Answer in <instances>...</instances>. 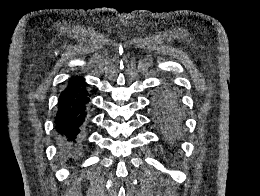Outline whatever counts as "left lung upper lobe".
<instances>
[{"mask_svg":"<svg viewBox=\"0 0 260 196\" xmlns=\"http://www.w3.org/2000/svg\"><path fill=\"white\" fill-rule=\"evenodd\" d=\"M154 121L169 146H175L184 132V116L177 95L164 90L154 98Z\"/></svg>","mask_w":260,"mask_h":196,"instance_id":"5c2ea615","label":"left lung upper lobe"}]
</instances>
